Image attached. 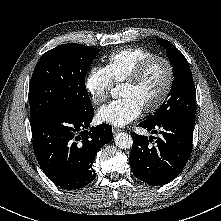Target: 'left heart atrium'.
Wrapping results in <instances>:
<instances>
[{"label": "left heart atrium", "mask_w": 221, "mask_h": 221, "mask_svg": "<svg viewBox=\"0 0 221 221\" xmlns=\"http://www.w3.org/2000/svg\"><path fill=\"white\" fill-rule=\"evenodd\" d=\"M142 109L134 98L125 96L100 108L97 115L101 121L121 127L135 120Z\"/></svg>", "instance_id": "left-heart-atrium-1"}]
</instances>
